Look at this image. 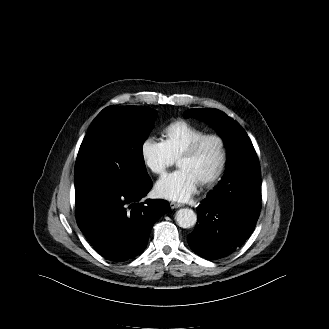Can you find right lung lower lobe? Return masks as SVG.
Listing matches in <instances>:
<instances>
[{"label": "right lung lower lobe", "instance_id": "right-lung-lower-lobe-1", "mask_svg": "<svg viewBox=\"0 0 329 329\" xmlns=\"http://www.w3.org/2000/svg\"><path fill=\"white\" fill-rule=\"evenodd\" d=\"M151 179L133 189L110 182H93L75 190L77 224L107 260L126 261L141 254L153 224L169 212L167 201L148 199Z\"/></svg>", "mask_w": 329, "mask_h": 329}]
</instances>
